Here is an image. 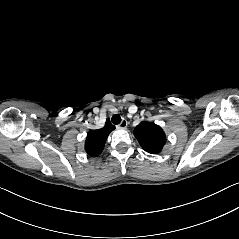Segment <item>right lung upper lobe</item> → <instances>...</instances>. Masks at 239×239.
Instances as JSON below:
<instances>
[{
  "mask_svg": "<svg viewBox=\"0 0 239 239\" xmlns=\"http://www.w3.org/2000/svg\"><path fill=\"white\" fill-rule=\"evenodd\" d=\"M115 129L107 119L103 128L90 130L85 141V151L92 157L98 156L104 149L105 142L111 131Z\"/></svg>",
  "mask_w": 239,
  "mask_h": 239,
  "instance_id": "1",
  "label": "right lung upper lobe"
}]
</instances>
